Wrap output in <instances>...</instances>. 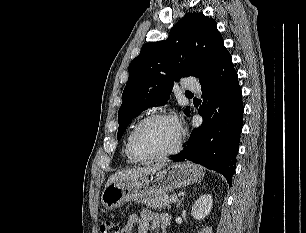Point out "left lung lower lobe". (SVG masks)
<instances>
[{
    "mask_svg": "<svg viewBox=\"0 0 306 233\" xmlns=\"http://www.w3.org/2000/svg\"><path fill=\"white\" fill-rule=\"evenodd\" d=\"M200 84L204 101L198 113L203 123L191 132L184 150L171 159H187L215 170L231 186L242 130L243 103L229 52Z\"/></svg>",
    "mask_w": 306,
    "mask_h": 233,
    "instance_id": "obj_1",
    "label": "left lung lower lobe"
}]
</instances>
